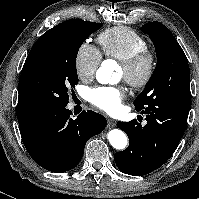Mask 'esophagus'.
Masks as SVG:
<instances>
[{
    "mask_svg": "<svg viewBox=\"0 0 199 199\" xmlns=\"http://www.w3.org/2000/svg\"><path fill=\"white\" fill-rule=\"evenodd\" d=\"M107 126H108L109 128H113V127L116 126V122H115L113 119H108V120H107Z\"/></svg>",
    "mask_w": 199,
    "mask_h": 199,
    "instance_id": "esophagus-1",
    "label": "esophagus"
}]
</instances>
